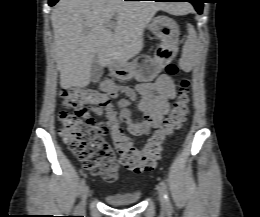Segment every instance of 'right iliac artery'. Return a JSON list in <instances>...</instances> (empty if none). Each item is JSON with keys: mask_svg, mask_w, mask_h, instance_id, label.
Listing matches in <instances>:
<instances>
[{"mask_svg": "<svg viewBox=\"0 0 260 217\" xmlns=\"http://www.w3.org/2000/svg\"><path fill=\"white\" fill-rule=\"evenodd\" d=\"M84 187H85V179L83 178V179H81V181H80V189H81V191H83ZM79 210H80V205H78V206L76 207V211H79Z\"/></svg>", "mask_w": 260, "mask_h": 217, "instance_id": "right-iliac-artery-1", "label": "right iliac artery"}]
</instances>
